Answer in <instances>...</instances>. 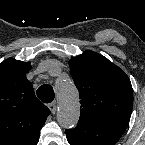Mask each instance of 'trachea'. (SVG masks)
Instances as JSON below:
<instances>
[{"label":"trachea","instance_id":"1","mask_svg":"<svg viewBox=\"0 0 145 145\" xmlns=\"http://www.w3.org/2000/svg\"><path fill=\"white\" fill-rule=\"evenodd\" d=\"M39 99L44 103H50L54 100V90L50 85H42L36 91Z\"/></svg>","mask_w":145,"mask_h":145}]
</instances>
